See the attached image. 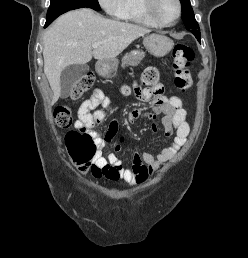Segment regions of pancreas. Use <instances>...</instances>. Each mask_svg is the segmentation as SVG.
<instances>
[{"mask_svg": "<svg viewBox=\"0 0 248 258\" xmlns=\"http://www.w3.org/2000/svg\"><path fill=\"white\" fill-rule=\"evenodd\" d=\"M145 56L144 52L141 50H134L130 53H126L122 58L121 66L124 68L126 66H137L140 61Z\"/></svg>", "mask_w": 248, "mask_h": 258, "instance_id": "pancreas-1", "label": "pancreas"}]
</instances>
